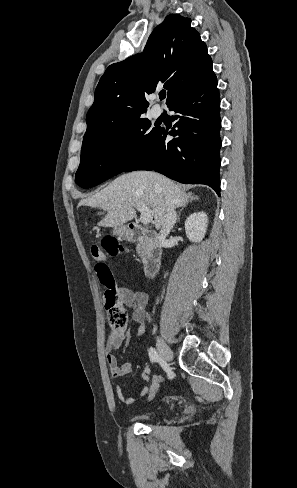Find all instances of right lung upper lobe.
<instances>
[{
    "instance_id": "cb5924a9",
    "label": "right lung upper lobe",
    "mask_w": 297,
    "mask_h": 488,
    "mask_svg": "<svg viewBox=\"0 0 297 488\" xmlns=\"http://www.w3.org/2000/svg\"><path fill=\"white\" fill-rule=\"evenodd\" d=\"M180 15L166 17L150 35L143 53L110 65L100 78L88 111L85 137L102 135L141 118L145 94L158 84L168 90L167 106L215 75L206 44Z\"/></svg>"
}]
</instances>
